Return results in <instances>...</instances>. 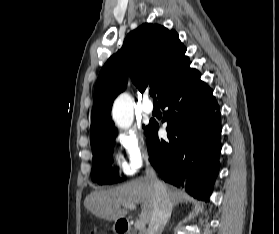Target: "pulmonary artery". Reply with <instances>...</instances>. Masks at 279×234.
I'll use <instances>...</instances> for the list:
<instances>
[{"label": "pulmonary artery", "instance_id": "1", "mask_svg": "<svg viewBox=\"0 0 279 234\" xmlns=\"http://www.w3.org/2000/svg\"><path fill=\"white\" fill-rule=\"evenodd\" d=\"M142 110L146 113V114H151L154 110L153 104L150 101V99L146 98L142 104Z\"/></svg>", "mask_w": 279, "mask_h": 234}]
</instances>
